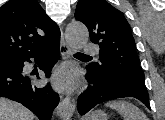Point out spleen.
<instances>
[{"label":"spleen","instance_id":"3e777b00","mask_svg":"<svg viewBox=\"0 0 165 120\" xmlns=\"http://www.w3.org/2000/svg\"><path fill=\"white\" fill-rule=\"evenodd\" d=\"M116 110L124 120H148L147 116L135 105L123 100H114L105 104Z\"/></svg>","mask_w":165,"mask_h":120}]
</instances>
